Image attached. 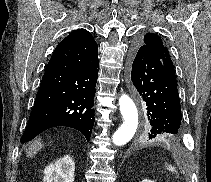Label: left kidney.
Listing matches in <instances>:
<instances>
[{"label":"left kidney","instance_id":"1","mask_svg":"<svg viewBox=\"0 0 211 182\" xmlns=\"http://www.w3.org/2000/svg\"><path fill=\"white\" fill-rule=\"evenodd\" d=\"M142 182H155V181L150 180V179H144V180H142Z\"/></svg>","mask_w":211,"mask_h":182}]
</instances>
